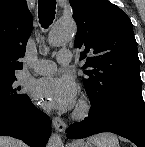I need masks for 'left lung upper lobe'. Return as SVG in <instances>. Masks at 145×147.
<instances>
[{
	"mask_svg": "<svg viewBox=\"0 0 145 147\" xmlns=\"http://www.w3.org/2000/svg\"><path fill=\"white\" fill-rule=\"evenodd\" d=\"M77 24L74 45L84 48V87L92 108L141 92L140 62L130 18L108 0H70ZM89 55V56H87Z\"/></svg>",
	"mask_w": 145,
	"mask_h": 147,
	"instance_id": "5c2ea615",
	"label": "left lung upper lobe"
}]
</instances>
